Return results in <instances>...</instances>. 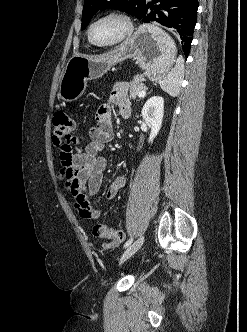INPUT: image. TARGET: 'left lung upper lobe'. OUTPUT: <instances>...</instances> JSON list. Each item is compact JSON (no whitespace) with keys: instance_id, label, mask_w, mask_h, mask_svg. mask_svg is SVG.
<instances>
[{"instance_id":"left-lung-upper-lobe-1","label":"left lung upper lobe","mask_w":247,"mask_h":332,"mask_svg":"<svg viewBox=\"0 0 247 332\" xmlns=\"http://www.w3.org/2000/svg\"><path fill=\"white\" fill-rule=\"evenodd\" d=\"M146 0H85L82 11L81 30H84L94 14L103 8L122 10L139 18Z\"/></svg>"}]
</instances>
